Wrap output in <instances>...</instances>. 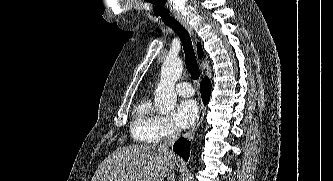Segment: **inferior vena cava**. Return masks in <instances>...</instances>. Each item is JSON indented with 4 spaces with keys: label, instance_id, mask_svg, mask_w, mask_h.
Masks as SVG:
<instances>
[{
    "label": "inferior vena cava",
    "instance_id": "inferior-vena-cava-1",
    "mask_svg": "<svg viewBox=\"0 0 333 181\" xmlns=\"http://www.w3.org/2000/svg\"><path fill=\"white\" fill-rule=\"evenodd\" d=\"M180 135H181V130L177 127H174L170 135L161 144V147H163L166 150H169V148L173 146V144L180 137ZM170 153H172V151H170ZM168 181H174V175L172 174V172L168 176Z\"/></svg>",
    "mask_w": 333,
    "mask_h": 181
}]
</instances>
